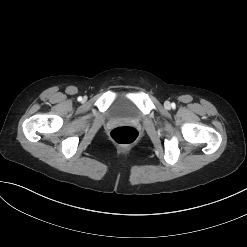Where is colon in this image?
<instances>
[{"instance_id":"colon-1","label":"colon","mask_w":247,"mask_h":247,"mask_svg":"<svg viewBox=\"0 0 247 247\" xmlns=\"http://www.w3.org/2000/svg\"><path fill=\"white\" fill-rule=\"evenodd\" d=\"M139 133L131 126H119L111 130L110 138L113 142L121 145L132 144L137 141Z\"/></svg>"}]
</instances>
